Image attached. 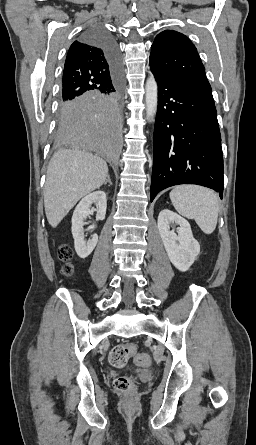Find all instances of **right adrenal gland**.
Masks as SVG:
<instances>
[{"mask_svg":"<svg viewBox=\"0 0 256 445\" xmlns=\"http://www.w3.org/2000/svg\"><path fill=\"white\" fill-rule=\"evenodd\" d=\"M107 183H109V186L112 185L111 179H110V175L107 176L106 181L104 182V185H106Z\"/></svg>","mask_w":256,"mask_h":445,"instance_id":"right-adrenal-gland-1","label":"right adrenal gland"}]
</instances>
